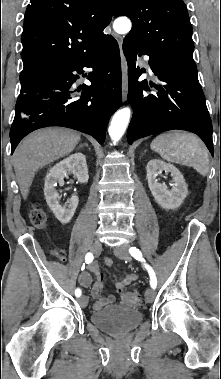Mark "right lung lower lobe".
<instances>
[{
  "mask_svg": "<svg viewBox=\"0 0 221 379\" xmlns=\"http://www.w3.org/2000/svg\"><path fill=\"white\" fill-rule=\"evenodd\" d=\"M84 67L92 68L87 76L92 85L73 91L75 73L82 74ZM121 102L120 52L117 41L109 36L93 52L21 80L10 130L11 152L27 134L48 126L81 131L102 144L109 119Z\"/></svg>",
  "mask_w": 221,
  "mask_h": 379,
  "instance_id": "right-lung-lower-lobe-1",
  "label": "right lung lower lobe"
}]
</instances>
